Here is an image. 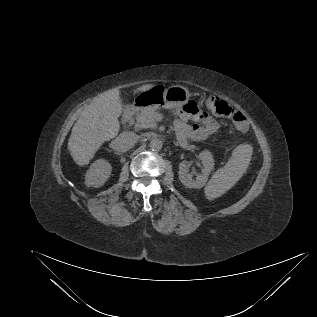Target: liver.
<instances>
[{
  "mask_svg": "<svg viewBox=\"0 0 317 317\" xmlns=\"http://www.w3.org/2000/svg\"><path fill=\"white\" fill-rule=\"evenodd\" d=\"M153 86L152 84L143 85L133 93ZM122 110L117 88L96 96L82 110L68 141V150L77 165H88L102 144L118 135L120 130L118 117Z\"/></svg>",
  "mask_w": 317,
  "mask_h": 317,
  "instance_id": "obj_1",
  "label": "liver"
}]
</instances>
